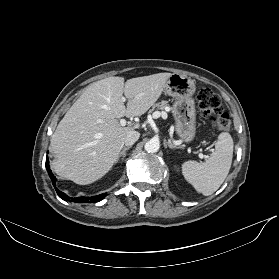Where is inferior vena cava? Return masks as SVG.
I'll use <instances>...</instances> for the list:
<instances>
[{"label":"inferior vena cava","mask_w":279,"mask_h":279,"mask_svg":"<svg viewBox=\"0 0 279 279\" xmlns=\"http://www.w3.org/2000/svg\"><path fill=\"white\" fill-rule=\"evenodd\" d=\"M140 137V133L137 131H130L125 138V145L131 146L133 145Z\"/></svg>","instance_id":"inferior-vena-cava-1"}]
</instances>
